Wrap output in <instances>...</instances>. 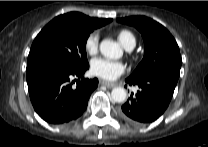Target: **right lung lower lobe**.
I'll return each instance as SVG.
<instances>
[{"label": "right lung lower lobe", "mask_w": 208, "mask_h": 147, "mask_svg": "<svg viewBox=\"0 0 208 147\" xmlns=\"http://www.w3.org/2000/svg\"><path fill=\"white\" fill-rule=\"evenodd\" d=\"M89 65L77 68L61 63L39 64L27 68L30 99L38 115L48 123L62 124L77 119L87 107L98 80L83 78ZM72 77H81L77 86Z\"/></svg>", "instance_id": "right-lung-lower-lobe-1"}]
</instances>
